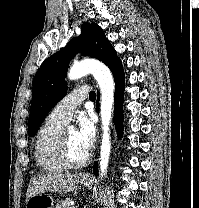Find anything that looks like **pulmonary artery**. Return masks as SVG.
Instances as JSON below:
<instances>
[{"instance_id":"1","label":"pulmonary artery","mask_w":199,"mask_h":208,"mask_svg":"<svg viewBox=\"0 0 199 208\" xmlns=\"http://www.w3.org/2000/svg\"><path fill=\"white\" fill-rule=\"evenodd\" d=\"M89 89L82 87L71 91L61 102L51 111L49 117L67 124L73 115L74 110L82 100L89 96Z\"/></svg>"}]
</instances>
